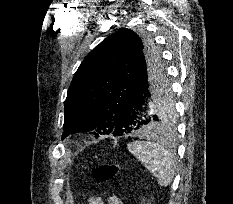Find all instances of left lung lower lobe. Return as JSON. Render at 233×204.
Wrapping results in <instances>:
<instances>
[{"instance_id":"left-lung-lower-lobe-1","label":"left lung lower lobe","mask_w":233,"mask_h":204,"mask_svg":"<svg viewBox=\"0 0 233 204\" xmlns=\"http://www.w3.org/2000/svg\"><path fill=\"white\" fill-rule=\"evenodd\" d=\"M168 87L166 72L160 57H144L119 103L116 124L124 134L135 131L160 132L156 127L158 99Z\"/></svg>"}]
</instances>
